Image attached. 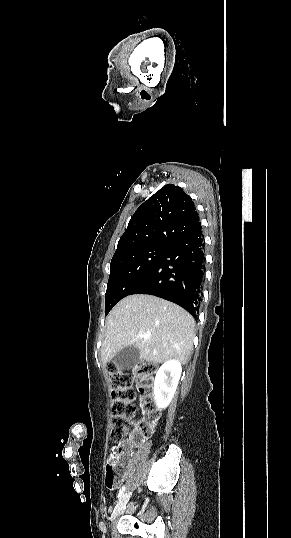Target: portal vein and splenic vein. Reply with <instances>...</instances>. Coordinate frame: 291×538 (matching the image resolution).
Segmentation results:
<instances>
[{"label":"portal vein and splenic vein","instance_id":"portal-vein-and-splenic-vein-1","mask_svg":"<svg viewBox=\"0 0 291 538\" xmlns=\"http://www.w3.org/2000/svg\"><path fill=\"white\" fill-rule=\"evenodd\" d=\"M139 337H142V338H147V337H148V335H145V334H143V333H140V334H139Z\"/></svg>","mask_w":291,"mask_h":538}]
</instances>
